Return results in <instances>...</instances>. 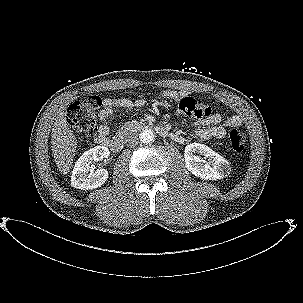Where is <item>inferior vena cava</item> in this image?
<instances>
[{"instance_id": "obj_1", "label": "inferior vena cava", "mask_w": 303, "mask_h": 303, "mask_svg": "<svg viewBox=\"0 0 303 303\" xmlns=\"http://www.w3.org/2000/svg\"><path fill=\"white\" fill-rule=\"evenodd\" d=\"M138 140H139L138 135L133 132H129L125 138V142H126L127 146H129V147H133V146L137 145Z\"/></svg>"}]
</instances>
